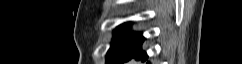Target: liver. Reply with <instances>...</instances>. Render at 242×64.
<instances>
[{"instance_id":"1","label":"liver","mask_w":242,"mask_h":64,"mask_svg":"<svg viewBox=\"0 0 242 64\" xmlns=\"http://www.w3.org/2000/svg\"><path fill=\"white\" fill-rule=\"evenodd\" d=\"M129 64H134V63H133V61H131V63H129Z\"/></svg>"}]
</instances>
